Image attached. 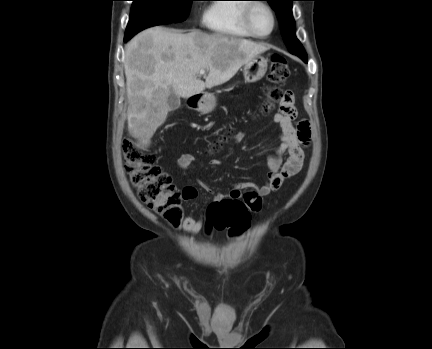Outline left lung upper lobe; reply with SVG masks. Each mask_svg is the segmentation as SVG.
<instances>
[{
	"label": "left lung upper lobe",
	"instance_id": "5c2ea615",
	"mask_svg": "<svg viewBox=\"0 0 432 349\" xmlns=\"http://www.w3.org/2000/svg\"><path fill=\"white\" fill-rule=\"evenodd\" d=\"M276 11L280 22V30L283 40L290 53L300 58H306L307 54L295 36V21L292 15V1L294 0H266Z\"/></svg>",
	"mask_w": 432,
	"mask_h": 349
}]
</instances>
